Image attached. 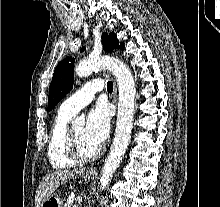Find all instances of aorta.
<instances>
[{
	"mask_svg": "<svg viewBox=\"0 0 220 207\" xmlns=\"http://www.w3.org/2000/svg\"><path fill=\"white\" fill-rule=\"evenodd\" d=\"M108 69L116 77L119 91L118 114L115 137L110 153L101 171L99 187L104 190L126 152L131 138L135 104V83L131 71L118 58L111 56L90 57L81 61L75 68L79 78L89 76L95 71ZM75 124H83V118H76Z\"/></svg>",
	"mask_w": 220,
	"mask_h": 207,
	"instance_id": "1",
	"label": "aorta"
}]
</instances>
